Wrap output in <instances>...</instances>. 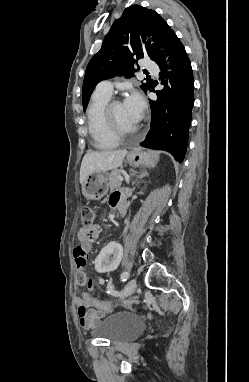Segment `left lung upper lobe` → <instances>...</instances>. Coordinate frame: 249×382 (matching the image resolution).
Wrapping results in <instances>:
<instances>
[{"instance_id": "5c2ea615", "label": "left lung upper lobe", "mask_w": 249, "mask_h": 382, "mask_svg": "<svg viewBox=\"0 0 249 382\" xmlns=\"http://www.w3.org/2000/svg\"><path fill=\"white\" fill-rule=\"evenodd\" d=\"M146 37H152L153 41L169 51L177 36L157 12L139 5L126 8L122 16L113 23L100 51L87 66L82 90L84 110L92 91L100 81L116 75L132 77L135 61L145 55L156 63L165 57L157 45H150L151 39L145 42ZM152 86V82H147L141 88L146 92Z\"/></svg>"}]
</instances>
